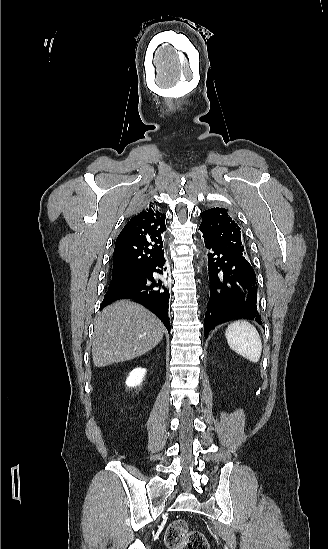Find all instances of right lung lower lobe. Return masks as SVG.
Masks as SVG:
<instances>
[{"mask_svg": "<svg viewBox=\"0 0 328 549\" xmlns=\"http://www.w3.org/2000/svg\"><path fill=\"white\" fill-rule=\"evenodd\" d=\"M166 269L163 253L147 269L140 272L139 277L109 288L101 309L118 299H134L156 314L170 333L168 316L170 294L164 277Z\"/></svg>", "mask_w": 328, "mask_h": 549, "instance_id": "obj_1", "label": "right lung lower lobe"}]
</instances>
